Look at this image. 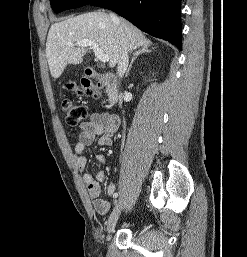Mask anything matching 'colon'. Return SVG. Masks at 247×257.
<instances>
[{
	"instance_id": "colon-1",
	"label": "colon",
	"mask_w": 247,
	"mask_h": 257,
	"mask_svg": "<svg viewBox=\"0 0 247 257\" xmlns=\"http://www.w3.org/2000/svg\"><path fill=\"white\" fill-rule=\"evenodd\" d=\"M68 88L79 97H96L98 95V87L87 79L82 80L79 85L70 84ZM62 109L65 121L71 127H81L89 116L87 109L83 105L72 100H63Z\"/></svg>"
}]
</instances>
